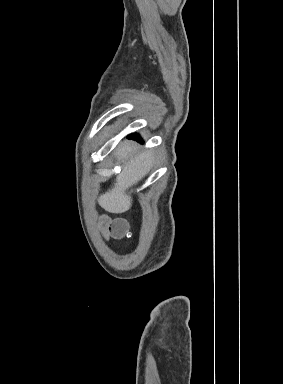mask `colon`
Here are the masks:
<instances>
[{"label": "colon", "instance_id": "colon-1", "mask_svg": "<svg viewBox=\"0 0 283 384\" xmlns=\"http://www.w3.org/2000/svg\"><path fill=\"white\" fill-rule=\"evenodd\" d=\"M128 229V225L124 220H117L114 221L111 226V233L115 235L116 237L123 236Z\"/></svg>", "mask_w": 283, "mask_h": 384}]
</instances>
